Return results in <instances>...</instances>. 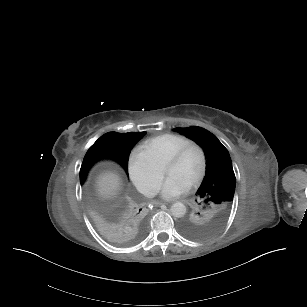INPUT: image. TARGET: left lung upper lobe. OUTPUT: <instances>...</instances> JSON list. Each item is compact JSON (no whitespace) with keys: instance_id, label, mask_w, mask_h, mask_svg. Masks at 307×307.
Here are the masks:
<instances>
[{"instance_id":"1","label":"left lung upper lobe","mask_w":307,"mask_h":307,"mask_svg":"<svg viewBox=\"0 0 307 307\" xmlns=\"http://www.w3.org/2000/svg\"><path fill=\"white\" fill-rule=\"evenodd\" d=\"M200 145L206 155V175L196 193L193 213L182 220V233L192 239H206L215 235L228 217L236 178L228 150L211 132L200 128H175Z\"/></svg>"}]
</instances>
